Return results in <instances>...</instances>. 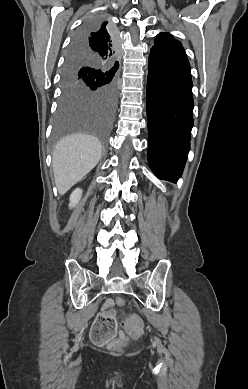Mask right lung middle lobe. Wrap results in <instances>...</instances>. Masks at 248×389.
Here are the masks:
<instances>
[{
	"label": "right lung middle lobe",
	"mask_w": 248,
	"mask_h": 389,
	"mask_svg": "<svg viewBox=\"0 0 248 389\" xmlns=\"http://www.w3.org/2000/svg\"><path fill=\"white\" fill-rule=\"evenodd\" d=\"M105 23L101 16L86 20L73 43ZM72 43V44H73ZM63 93L53 141L74 132L95 134L103 146L117 104L116 70L81 50L70 48L62 74Z\"/></svg>",
	"instance_id": "obj_1"
}]
</instances>
